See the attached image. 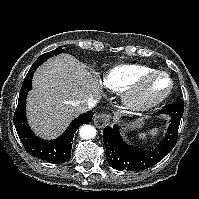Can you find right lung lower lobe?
Returning <instances> with one entry per match:
<instances>
[{
    "label": "right lung lower lobe",
    "instance_id": "1",
    "mask_svg": "<svg viewBox=\"0 0 199 199\" xmlns=\"http://www.w3.org/2000/svg\"><path fill=\"white\" fill-rule=\"evenodd\" d=\"M43 62L35 61L24 79L19 94L18 106L14 113V124L23 146L30 155L53 164H59L70 159L75 132L79 126L89 123L94 113L89 111L74 119L67 130L55 140L46 141L35 136L26 120V97L32 89L33 74Z\"/></svg>",
    "mask_w": 199,
    "mask_h": 199
}]
</instances>
